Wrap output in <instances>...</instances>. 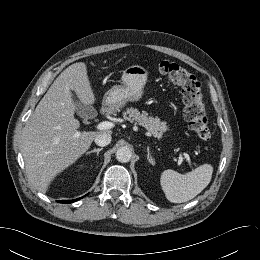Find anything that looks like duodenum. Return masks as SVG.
I'll return each instance as SVG.
<instances>
[{"label": "duodenum", "instance_id": "410a0bca", "mask_svg": "<svg viewBox=\"0 0 260 260\" xmlns=\"http://www.w3.org/2000/svg\"><path fill=\"white\" fill-rule=\"evenodd\" d=\"M106 110H107V108H106V107H103V109H102V113H105Z\"/></svg>", "mask_w": 260, "mask_h": 260}]
</instances>
